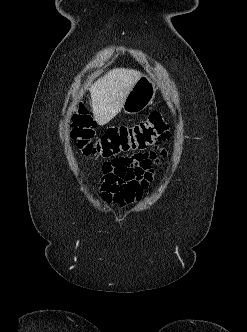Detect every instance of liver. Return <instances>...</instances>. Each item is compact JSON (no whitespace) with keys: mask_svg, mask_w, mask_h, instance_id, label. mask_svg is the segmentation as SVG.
I'll return each instance as SVG.
<instances>
[{"mask_svg":"<svg viewBox=\"0 0 247 332\" xmlns=\"http://www.w3.org/2000/svg\"><path fill=\"white\" fill-rule=\"evenodd\" d=\"M140 76L134 69L115 68L90 87L93 115L99 125L107 124L121 111L127 94Z\"/></svg>","mask_w":247,"mask_h":332,"instance_id":"6515ba94","label":"liver"}]
</instances>
